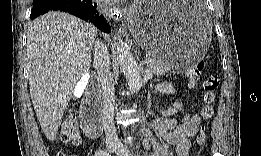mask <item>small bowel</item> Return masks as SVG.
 Masks as SVG:
<instances>
[{
	"instance_id": "obj_1",
	"label": "small bowel",
	"mask_w": 261,
	"mask_h": 156,
	"mask_svg": "<svg viewBox=\"0 0 261 156\" xmlns=\"http://www.w3.org/2000/svg\"><path fill=\"white\" fill-rule=\"evenodd\" d=\"M157 90L161 94H173V87L168 83H161ZM180 104L161 111L162 116L156 118L152 127L160 137L169 144L175 146L177 156H187L191 147L190 138L193 137L200 124V117L197 114H187L179 122L173 115L180 109Z\"/></svg>"
}]
</instances>
